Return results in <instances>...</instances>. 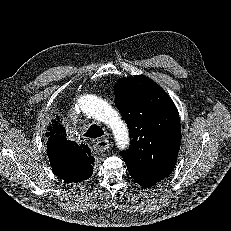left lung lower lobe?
Wrapping results in <instances>:
<instances>
[{
	"label": "left lung lower lobe",
	"mask_w": 231,
	"mask_h": 231,
	"mask_svg": "<svg viewBox=\"0 0 231 231\" xmlns=\"http://www.w3.org/2000/svg\"><path fill=\"white\" fill-rule=\"evenodd\" d=\"M132 178L143 187H152L163 178L170 175L171 172H158L146 170H133L128 169Z\"/></svg>",
	"instance_id": "left-lung-lower-lobe-1"
}]
</instances>
